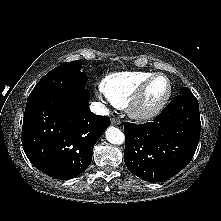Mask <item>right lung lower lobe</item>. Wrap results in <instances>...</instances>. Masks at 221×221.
Here are the masks:
<instances>
[{
    "mask_svg": "<svg viewBox=\"0 0 221 221\" xmlns=\"http://www.w3.org/2000/svg\"><path fill=\"white\" fill-rule=\"evenodd\" d=\"M87 89L26 105L22 145L30 162L56 179H69L92 160L95 143L110 125L89 109Z\"/></svg>",
    "mask_w": 221,
    "mask_h": 221,
    "instance_id": "right-lung-lower-lobe-1",
    "label": "right lung lower lobe"
}]
</instances>
